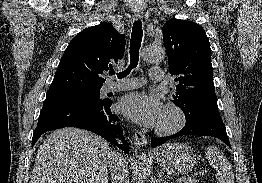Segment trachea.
Here are the masks:
<instances>
[{
  "mask_svg": "<svg viewBox=\"0 0 262 183\" xmlns=\"http://www.w3.org/2000/svg\"><path fill=\"white\" fill-rule=\"evenodd\" d=\"M143 37L142 22L137 20L133 23L131 40H130V65L129 67L117 74L119 79L126 77L133 68H136L139 61V50L141 47ZM110 75H114L115 71L109 72Z\"/></svg>",
  "mask_w": 262,
  "mask_h": 183,
  "instance_id": "trachea-1",
  "label": "trachea"
}]
</instances>
